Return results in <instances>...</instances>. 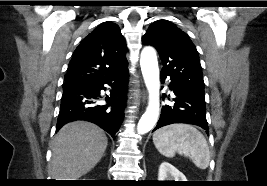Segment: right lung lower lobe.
Here are the masks:
<instances>
[{
  "mask_svg": "<svg viewBox=\"0 0 267 186\" xmlns=\"http://www.w3.org/2000/svg\"><path fill=\"white\" fill-rule=\"evenodd\" d=\"M127 82L126 65L102 77L64 84L57 130L69 122L85 120L97 124L114 137L124 117ZM104 84L111 86L106 104L100 103V91L106 89Z\"/></svg>",
  "mask_w": 267,
  "mask_h": 186,
  "instance_id": "1",
  "label": "right lung lower lobe"
}]
</instances>
